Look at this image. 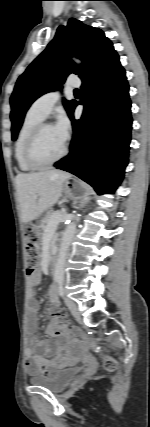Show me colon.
Listing matches in <instances>:
<instances>
[{
    "label": "colon",
    "instance_id": "5ec220e1",
    "mask_svg": "<svg viewBox=\"0 0 150 427\" xmlns=\"http://www.w3.org/2000/svg\"><path fill=\"white\" fill-rule=\"evenodd\" d=\"M24 240L26 243V270L29 275L33 274L39 263L40 258V243L36 230L32 226H25L24 231ZM53 321L50 326V332L53 334L66 333L70 339L76 342H84V339L81 337L79 332L73 328L67 326L66 322L59 316L58 313L53 312ZM91 348L99 353L100 346L96 342L90 343ZM104 368L108 371H113L117 367L116 360L109 355L104 357Z\"/></svg>",
    "mask_w": 150,
    "mask_h": 427
}]
</instances>
